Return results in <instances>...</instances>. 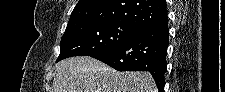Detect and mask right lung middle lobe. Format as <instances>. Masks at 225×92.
Returning a JSON list of instances; mask_svg holds the SVG:
<instances>
[{"instance_id":"obj_1","label":"right lung middle lobe","mask_w":225,"mask_h":92,"mask_svg":"<svg viewBox=\"0 0 225 92\" xmlns=\"http://www.w3.org/2000/svg\"><path fill=\"white\" fill-rule=\"evenodd\" d=\"M140 32L120 22L86 23L66 29L56 62L72 56H93L133 39Z\"/></svg>"}]
</instances>
